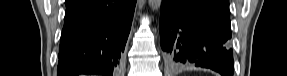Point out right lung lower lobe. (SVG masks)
I'll return each instance as SVG.
<instances>
[{"label": "right lung lower lobe", "mask_w": 287, "mask_h": 76, "mask_svg": "<svg viewBox=\"0 0 287 76\" xmlns=\"http://www.w3.org/2000/svg\"><path fill=\"white\" fill-rule=\"evenodd\" d=\"M136 0H73L66 4L58 76H112L130 32Z\"/></svg>", "instance_id": "1"}]
</instances>
